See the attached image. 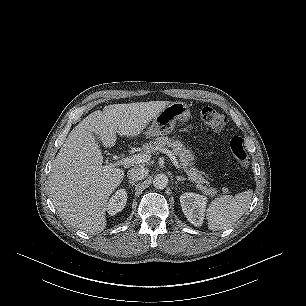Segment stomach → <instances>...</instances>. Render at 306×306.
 <instances>
[{"mask_svg": "<svg viewBox=\"0 0 306 306\" xmlns=\"http://www.w3.org/2000/svg\"><path fill=\"white\" fill-rule=\"evenodd\" d=\"M190 115L187 104L172 102L158 112L145 134L147 137L167 135L173 131L177 121L186 122Z\"/></svg>", "mask_w": 306, "mask_h": 306, "instance_id": "obj_1", "label": "stomach"}]
</instances>
